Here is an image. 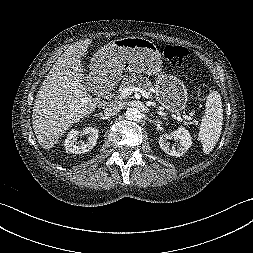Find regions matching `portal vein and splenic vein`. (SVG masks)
Wrapping results in <instances>:
<instances>
[{
    "mask_svg": "<svg viewBox=\"0 0 253 253\" xmlns=\"http://www.w3.org/2000/svg\"><path fill=\"white\" fill-rule=\"evenodd\" d=\"M133 92H139L141 93V95L143 97H145L146 99H148L149 97V94L143 89V88H140V87H132V86H129L127 88H125L122 92H121V95L123 97H127V96H130ZM182 117L186 120H192V118L188 115H182ZM178 120H181V117L178 116L177 117Z\"/></svg>",
    "mask_w": 253,
    "mask_h": 253,
    "instance_id": "portal-vein-and-splenic-vein-1",
    "label": "portal vein and splenic vein"
}]
</instances>
